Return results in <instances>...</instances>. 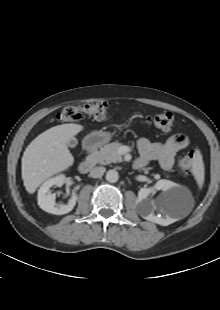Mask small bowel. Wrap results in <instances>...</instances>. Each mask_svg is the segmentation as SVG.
Here are the masks:
<instances>
[{
  "mask_svg": "<svg viewBox=\"0 0 220 310\" xmlns=\"http://www.w3.org/2000/svg\"><path fill=\"white\" fill-rule=\"evenodd\" d=\"M188 146L189 138L184 134L173 135L163 143L141 138L138 141L140 158L136 165L141 167L151 160H158L164 170H170L173 167L176 154Z\"/></svg>",
  "mask_w": 220,
  "mask_h": 310,
  "instance_id": "c3829d8e",
  "label": "small bowel"
}]
</instances>
